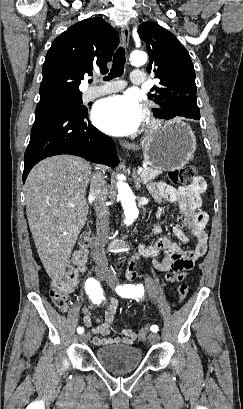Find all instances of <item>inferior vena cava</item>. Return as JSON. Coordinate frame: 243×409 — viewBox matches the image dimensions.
Instances as JSON below:
<instances>
[{"label": "inferior vena cava", "mask_w": 243, "mask_h": 409, "mask_svg": "<svg viewBox=\"0 0 243 409\" xmlns=\"http://www.w3.org/2000/svg\"><path fill=\"white\" fill-rule=\"evenodd\" d=\"M89 195L94 198V208L97 216V234L93 254L97 268L107 269L108 263L104 247L109 233V211L106 205L108 190L106 182L100 173H95L92 176Z\"/></svg>", "instance_id": "inferior-vena-cava-1"}]
</instances>
